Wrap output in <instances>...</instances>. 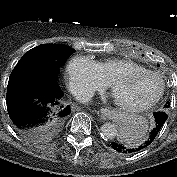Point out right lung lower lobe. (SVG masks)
I'll use <instances>...</instances> for the list:
<instances>
[{
  "label": "right lung lower lobe",
  "mask_w": 177,
  "mask_h": 177,
  "mask_svg": "<svg viewBox=\"0 0 177 177\" xmlns=\"http://www.w3.org/2000/svg\"><path fill=\"white\" fill-rule=\"evenodd\" d=\"M64 93L57 76L33 63L13 69L7 87L6 103L13 124L33 137L59 130L70 114L63 103Z\"/></svg>",
  "instance_id": "obj_1"
}]
</instances>
